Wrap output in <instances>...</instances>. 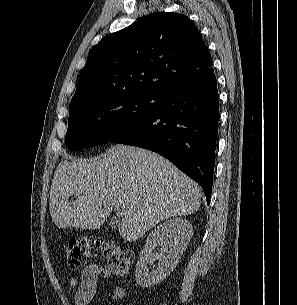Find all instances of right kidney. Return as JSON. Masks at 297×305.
Returning a JSON list of instances; mask_svg holds the SVG:
<instances>
[{
    "label": "right kidney",
    "instance_id": "right-kidney-1",
    "mask_svg": "<svg viewBox=\"0 0 297 305\" xmlns=\"http://www.w3.org/2000/svg\"><path fill=\"white\" fill-rule=\"evenodd\" d=\"M192 233L191 224L183 218L167 220L152 230L136 264V283L142 288H150L163 281L178 264ZM157 246L161 248L159 253L154 252ZM156 260V269L149 271L148 264Z\"/></svg>",
    "mask_w": 297,
    "mask_h": 305
}]
</instances>
